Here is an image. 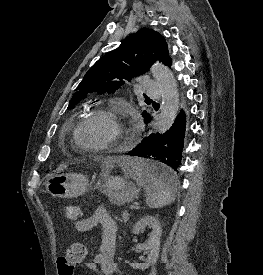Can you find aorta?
I'll return each mask as SVG.
<instances>
[{
    "instance_id": "1",
    "label": "aorta",
    "mask_w": 263,
    "mask_h": 275,
    "mask_svg": "<svg viewBox=\"0 0 263 275\" xmlns=\"http://www.w3.org/2000/svg\"><path fill=\"white\" fill-rule=\"evenodd\" d=\"M151 72L159 85L162 95L158 126L160 133H164L171 128L177 116L179 92L174 75L166 66L157 62L152 66Z\"/></svg>"
}]
</instances>
